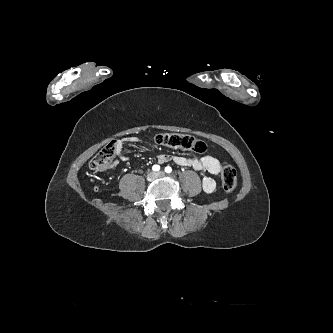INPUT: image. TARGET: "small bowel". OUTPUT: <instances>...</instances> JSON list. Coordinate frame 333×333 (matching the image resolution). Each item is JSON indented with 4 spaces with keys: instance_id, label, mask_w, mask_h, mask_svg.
Instances as JSON below:
<instances>
[{
    "instance_id": "small-bowel-1",
    "label": "small bowel",
    "mask_w": 333,
    "mask_h": 333,
    "mask_svg": "<svg viewBox=\"0 0 333 333\" xmlns=\"http://www.w3.org/2000/svg\"><path fill=\"white\" fill-rule=\"evenodd\" d=\"M138 142L136 137H125L117 140V153L121 161H129V157L124 151L125 145H133ZM172 161L175 164L183 167H189L196 171H200L205 174L202 180L203 190L207 193H212L216 189L215 180L208 175L217 176L221 173V164L218 159L213 156L207 155L201 158L197 157H185L180 155L160 154L158 156L159 163H165Z\"/></svg>"
}]
</instances>
